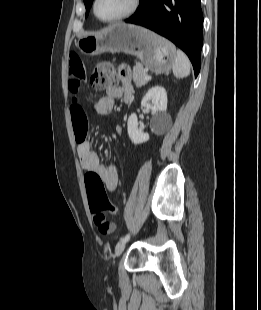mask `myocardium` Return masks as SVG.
<instances>
[{
	"instance_id": "obj_1",
	"label": "myocardium",
	"mask_w": 261,
	"mask_h": 310,
	"mask_svg": "<svg viewBox=\"0 0 261 310\" xmlns=\"http://www.w3.org/2000/svg\"><path fill=\"white\" fill-rule=\"evenodd\" d=\"M97 3H98V0L93 1L92 10H93L94 16L99 21H101L103 23H107V24H112V23H116V22H120V21H123L125 19H128L129 17H131L132 15H134L136 13V11L138 10V8L140 6V0H131V5L126 12H124L123 14H121L117 17H114V18L104 19L101 16H99V14L97 12Z\"/></svg>"
}]
</instances>
